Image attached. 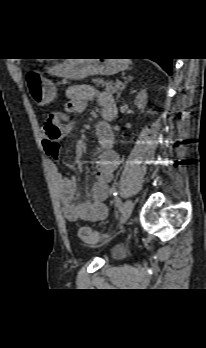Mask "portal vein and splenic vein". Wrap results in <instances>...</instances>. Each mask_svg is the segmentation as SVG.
<instances>
[{
    "mask_svg": "<svg viewBox=\"0 0 206 348\" xmlns=\"http://www.w3.org/2000/svg\"><path fill=\"white\" fill-rule=\"evenodd\" d=\"M115 86H116V87H119V86H120V83H118V82L115 83Z\"/></svg>",
    "mask_w": 206,
    "mask_h": 348,
    "instance_id": "1",
    "label": "portal vein and splenic vein"
}]
</instances>
